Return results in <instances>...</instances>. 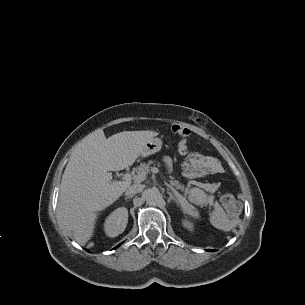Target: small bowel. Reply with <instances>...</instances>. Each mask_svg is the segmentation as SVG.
I'll return each instance as SVG.
<instances>
[{
    "label": "small bowel",
    "instance_id": "1",
    "mask_svg": "<svg viewBox=\"0 0 305 305\" xmlns=\"http://www.w3.org/2000/svg\"><path fill=\"white\" fill-rule=\"evenodd\" d=\"M178 150L181 154H185L187 152V146L180 147L178 146ZM199 165L208 173H218L219 172V164L218 162L210 157H202L200 155H197ZM165 166L170 169L172 166V161L170 157H165L163 159Z\"/></svg>",
    "mask_w": 305,
    "mask_h": 305
}]
</instances>
